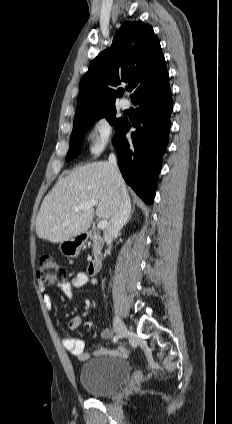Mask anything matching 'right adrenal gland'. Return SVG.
<instances>
[{"mask_svg": "<svg viewBox=\"0 0 232 424\" xmlns=\"http://www.w3.org/2000/svg\"><path fill=\"white\" fill-rule=\"evenodd\" d=\"M133 213H134V206H133L131 213L129 214L127 222H129L131 220Z\"/></svg>", "mask_w": 232, "mask_h": 424, "instance_id": "obj_1", "label": "right adrenal gland"}]
</instances>
